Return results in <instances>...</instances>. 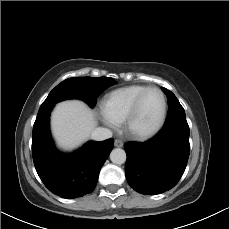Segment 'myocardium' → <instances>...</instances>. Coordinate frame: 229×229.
Here are the masks:
<instances>
[{
    "instance_id": "1",
    "label": "myocardium",
    "mask_w": 229,
    "mask_h": 229,
    "mask_svg": "<svg viewBox=\"0 0 229 229\" xmlns=\"http://www.w3.org/2000/svg\"><path fill=\"white\" fill-rule=\"evenodd\" d=\"M151 91H156L161 95L162 98V109H161V114L158 119V121L148 130L145 131H136L133 128V123L134 120L137 116L138 109L140 107V104L143 100V98ZM166 114H167V101L164 93L162 92L161 89L157 87H149L142 93H140L136 99L134 100L133 104L130 107V110L124 120V128L125 132L133 139L136 140H145L148 139L154 135H156L163 127L165 120H166Z\"/></svg>"
}]
</instances>
